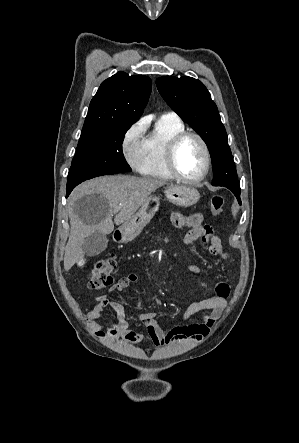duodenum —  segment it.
<instances>
[{
	"instance_id": "obj_1",
	"label": "duodenum",
	"mask_w": 299,
	"mask_h": 443,
	"mask_svg": "<svg viewBox=\"0 0 299 443\" xmlns=\"http://www.w3.org/2000/svg\"><path fill=\"white\" fill-rule=\"evenodd\" d=\"M116 238H117V239H120V235H119V233H116Z\"/></svg>"
}]
</instances>
